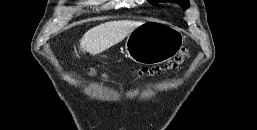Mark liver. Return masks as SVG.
<instances>
[{"label":"liver","instance_id":"1","mask_svg":"<svg viewBox=\"0 0 257 130\" xmlns=\"http://www.w3.org/2000/svg\"><path fill=\"white\" fill-rule=\"evenodd\" d=\"M141 24L142 22L140 21L123 20L106 22L95 26L83 35L80 40V50L92 55L100 54L121 42ZM76 55L78 57L77 52Z\"/></svg>","mask_w":257,"mask_h":130}]
</instances>
